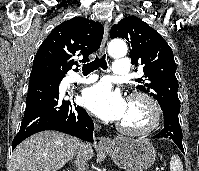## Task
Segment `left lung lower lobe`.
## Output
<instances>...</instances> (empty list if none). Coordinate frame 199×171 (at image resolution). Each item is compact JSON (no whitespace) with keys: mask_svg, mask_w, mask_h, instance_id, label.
I'll return each mask as SVG.
<instances>
[{"mask_svg":"<svg viewBox=\"0 0 199 171\" xmlns=\"http://www.w3.org/2000/svg\"><path fill=\"white\" fill-rule=\"evenodd\" d=\"M179 111L173 109L163 110L164 129L153 138H169L173 140L180 150L184 153L182 145V129L178 118Z\"/></svg>","mask_w":199,"mask_h":171,"instance_id":"0a47b994","label":"left lung lower lobe"}]
</instances>
